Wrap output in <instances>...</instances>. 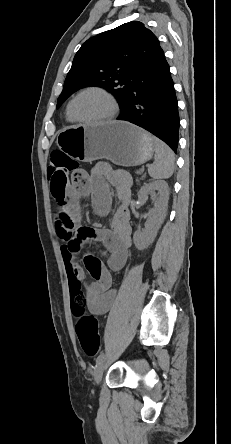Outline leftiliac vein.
<instances>
[{"instance_id":"4c4485c4","label":"left iliac vein","mask_w":231,"mask_h":444,"mask_svg":"<svg viewBox=\"0 0 231 444\" xmlns=\"http://www.w3.org/2000/svg\"><path fill=\"white\" fill-rule=\"evenodd\" d=\"M105 366H106V361L103 358L96 366L95 371H94V380L96 384H99L101 382L104 370H105Z\"/></svg>"}]
</instances>
